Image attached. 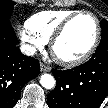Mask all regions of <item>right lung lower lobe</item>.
I'll list each match as a JSON object with an SVG mask.
<instances>
[{
    "label": "right lung lower lobe",
    "instance_id": "right-lung-lower-lobe-1",
    "mask_svg": "<svg viewBox=\"0 0 108 108\" xmlns=\"http://www.w3.org/2000/svg\"><path fill=\"white\" fill-rule=\"evenodd\" d=\"M39 72L38 60L23 55L16 47L10 22H0V108H13L23 85Z\"/></svg>",
    "mask_w": 108,
    "mask_h": 108
}]
</instances>
